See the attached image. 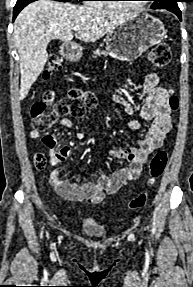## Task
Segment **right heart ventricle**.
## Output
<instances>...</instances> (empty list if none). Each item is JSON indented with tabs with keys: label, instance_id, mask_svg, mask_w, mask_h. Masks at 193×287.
<instances>
[{
	"label": "right heart ventricle",
	"instance_id": "right-heart-ventricle-1",
	"mask_svg": "<svg viewBox=\"0 0 193 287\" xmlns=\"http://www.w3.org/2000/svg\"><path fill=\"white\" fill-rule=\"evenodd\" d=\"M98 8H106V9H120L118 5H112V4H100L97 5Z\"/></svg>",
	"mask_w": 193,
	"mask_h": 287
}]
</instances>
